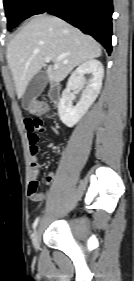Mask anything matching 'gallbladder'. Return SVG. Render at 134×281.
Masks as SVG:
<instances>
[{
  "mask_svg": "<svg viewBox=\"0 0 134 281\" xmlns=\"http://www.w3.org/2000/svg\"><path fill=\"white\" fill-rule=\"evenodd\" d=\"M49 81V77L45 70L39 71L29 82L25 93L22 97V106L28 110L33 99L37 98L45 88Z\"/></svg>",
  "mask_w": 134,
  "mask_h": 281,
  "instance_id": "1",
  "label": "gallbladder"
}]
</instances>
